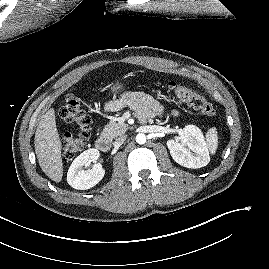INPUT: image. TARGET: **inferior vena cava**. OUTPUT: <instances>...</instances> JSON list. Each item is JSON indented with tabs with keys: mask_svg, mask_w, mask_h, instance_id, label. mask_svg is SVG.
Masks as SVG:
<instances>
[{
	"mask_svg": "<svg viewBox=\"0 0 269 269\" xmlns=\"http://www.w3.org/2000/svg\"><path fill=\"white\" fill-rule=\"evenodd\" d=\"M125 139H126V136L125 135L119 137L118 139H116V141L113 143L114 147L115 148L120 147L123 144V142L125 141Z\"/></svg>",
	"mask_w": 269,
	"mask_h": 269,
	"instance_id": "inferior-vena-cava-1",
	"label": "inferior vena cava"
}]
</instances>
